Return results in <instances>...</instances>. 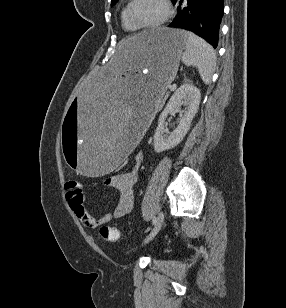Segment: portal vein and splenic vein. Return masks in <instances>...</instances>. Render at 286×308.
I'll use <instances>...</instances> for the list:
<instances>
[{"label": "portal vein and splenic vein", "instance_id": "obj_1", "mask_svg": "<svg viewBox=\"0 0 286 308\" xmlns=\"http://www.w3.org/2000/svg\"><path fill=\"white\" fill-rule=\"evenodd\" d=\"M175 87L176 86L173 84V85L170 86V89L173 90V89H175Z\"/></svg>", "mask_w": 286, "mask_h": 308}]
</instances>
